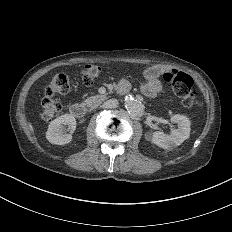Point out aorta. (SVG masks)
Wrapping results in <instances>:
<instances>
[{"mask_svg": "<svg viewBox=\"0 0 232 232\" xmlns=\"http://www.w3.org/2000/svg\"><path fill=\"white\" fill-rule=\"evenodd\" d=\"M125 107L132 116H141L144 112L141 101L131 95L126 96Z\"/></svg>", "mask_w": 232, "mask_h": 232, "instance_id": "1", "label": "aorta"}]
</instances>
